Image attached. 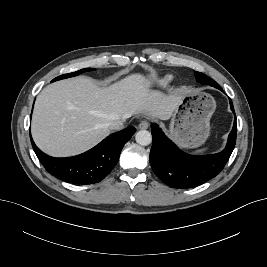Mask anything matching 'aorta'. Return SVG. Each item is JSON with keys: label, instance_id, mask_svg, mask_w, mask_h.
Returning <instances> with one entry per match:
<instances>
[{"label": "aorta", "instance_id": "1", "mask_svg": "<svg viewBox=\"0 0 267 267\" xmlns=\"http://www.w3.org/2000/svg\"><path fill=\"white\" fill-rule=\"evenodd\" d=\"M135 140L139 145L147 146L152 142V135L147 130H140L136 133Z\"/></svg>", "mask_w": 267, "mask_h": 267}]
</instances>
